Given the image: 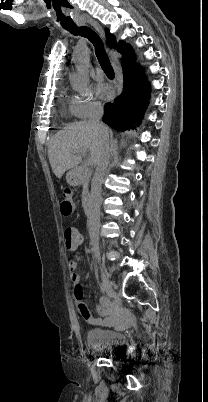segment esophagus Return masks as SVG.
<instances>
[{
	"label": "esophagus",
	"mask_w": 208,
	"mask_h": 402,
	"mask_svg": "<svg viewBox=\"0 0 208 402\" xmlns=\"http://www.w3.org/2000/svg\"><path fill=\"white\" fill-rule=\"evenodd\" d=\"M81 22H82V24L89 23L103 36V38H105V34H104L103 29L100 27V25H98V23L92 17H90V15L83 14L82 18H81ZM108 52H109L112 64L114 66V69L116 71L117 79L119 81V83L117 84V95H120V93L122 91V82H121L122 77H121V74H120L119 63H118V61H116V60H114L112 58L113 50L108 49Z\"/></svg>",
	"instance_id": "1"
}]
</instances>
